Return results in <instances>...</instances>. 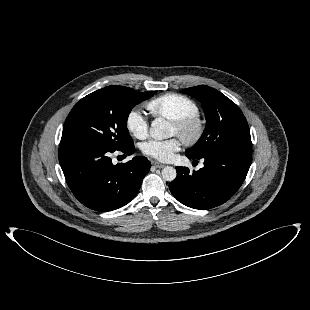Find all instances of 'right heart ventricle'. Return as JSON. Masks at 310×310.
Listing matches in <instances>:
<instances>
[{"instance_id":"right-heart-ventricle-1","label":"right heart ventricle","mask_w":310,"mask_h":310,"mask_svg":"<svg viewBox=\"0 0 310 310\" xmlns=\"http://www.w3.org/2000/svg\"><path fill=\"white\" fill-rule=\"evenodd\" d=\"M147 109L156 117L175 120L198 113L196 102L186 95L167 93L150 100Z\"/></svg>"}]
</instances>
